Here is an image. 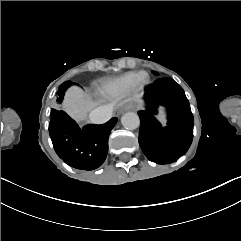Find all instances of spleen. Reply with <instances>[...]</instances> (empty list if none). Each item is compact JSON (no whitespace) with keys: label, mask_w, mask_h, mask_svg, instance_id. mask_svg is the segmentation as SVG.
Here are the masks:
<instances>
[{"label":"spleen","mask_w":241,"mask_h":241,"mask_svg":"<svg viewBox=\"0 0 241 241\" xmlns=\"http://www.w3.org/2000/svg\"><path fill=\"white\" fill-rule=\"evenodd\" d=\"M158 119L162 122V123H165V119H164V116H163V113L160 112L159 116H158Z\"/></svg>","instance_id":"spleen-1"}]
</instances>
